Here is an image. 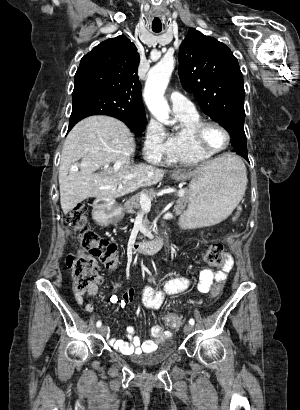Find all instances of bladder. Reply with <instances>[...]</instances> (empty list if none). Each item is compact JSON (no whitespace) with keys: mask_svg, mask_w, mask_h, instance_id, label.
<instances>
[{"mask_svg":"<svg viewBox=\"0 0 300 410\" xmlns=\"http://www.w3.org/2000/svg\"><path fill=\"white\" fill-rule=\"evenodd\" d=\"M176 350V344L170 341L166 345L152 350L147 355H131L129 358L139 366H155L167 361Z\"/></svg>","mask_w":300,"mask_h":410,"instance_id":"bladder-1","label":"bladder"}]
</instances>
